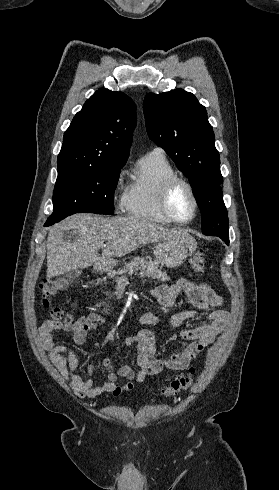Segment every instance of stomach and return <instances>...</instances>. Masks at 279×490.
<instances>
[{
	"instance_id": "1",
	"label": "stomach",
	"mask_w": 279,
	"mask_h": 490,
	"mask_svg": "<svg viewBox=\"0 0 279 490\" xmlns=\"http://www.w3.org/2000/svg\"><path fill=\"white\" fill-rule=\"evenodd\" d=\"M189 244H186L184 238H171V240H165L162 244H157L153 248V254L166 268H179L184 262H186L189 254ZM113 266H116L115 260H109L105 262L106 272L112 270Z\"/></svg>"
}]
</instances>
